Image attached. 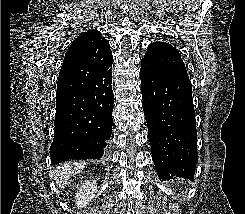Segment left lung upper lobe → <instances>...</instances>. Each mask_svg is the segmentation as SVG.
<instances>
[{"mask_svg": "<svg viewBox=\"0 0 245 214\" xmlns=\"http://www.w3.org/2000/svg\"><path fill=\"white\" fill-rule=\"evenodd\" d=\"M141 63L163 74L189 78L178 50L166 42L150 44Z\"/></svg>", "mask_w": 245, "mask_h": 214, "instance_id": "1", "label": "left lung upper lobe"}]
</instances>
